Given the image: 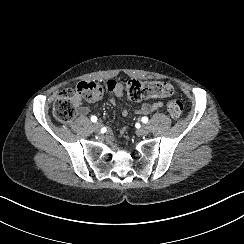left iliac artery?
<instances>
[{
  "mask_svg": "<svg viewBox=\"0 0 244 244\" xmlns=\"http://www.w3.org/2000/svg\"><path fill=\"white\" fill-rule=\"evenodd\" d=\"M142 122L143 123H147L148 122V117H146V116L142 117Z\"/></svg>",
  "mask_w": 244,
  "mask_h": 244,
  "instance_id": "left-iliac-artery-1",
  "label": "left iliac artery"
}]
</instances>
